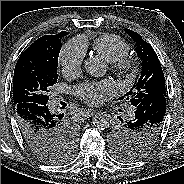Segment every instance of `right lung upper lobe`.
<instances>
[{"instance_id": "obj_1", "label": "right lung upper lobe", "mask_w": 184, "mask_h": 184, "mask_svg": "<svg viewBox=\"0 0 184 184\" xmlns=\"http://www.w3.org/2000/svg\"><path fill=\"white\" fill-rule=\"evenodd\" d=\"M64 32H60L59 34H56V35H45V36H42L40 37L39 39H37L36 41H34L30 47H28L24 52H28V51H34V50H41V51H46L52 40L54 38H57V37H64Z\"/></svg>"}]
</instances>
